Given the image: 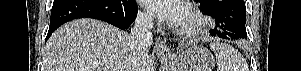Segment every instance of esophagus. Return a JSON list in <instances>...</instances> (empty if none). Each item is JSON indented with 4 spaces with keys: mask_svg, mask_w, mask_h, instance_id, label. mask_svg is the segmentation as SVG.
<instances>
[{
    "mask_svg": "<svg viewBox=\"0 0 301 71\" xmlns=\"http://www.w3.org/2000/svg\"><path fill=\"white\" fill-rule=\"evenodd\" d=\"M154 52L160 59H166L170 57V50L167 47L165 40L161 37L156 38Z\"/></svg>",
    "mask_w": 301,
    "mask_h": 71,
    "instance_id": "esophagus-1",
    "label": "esophagus"
}]
</instances>
